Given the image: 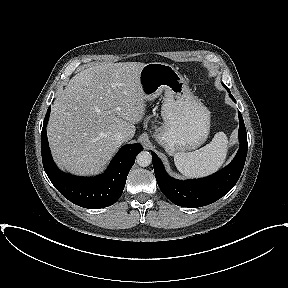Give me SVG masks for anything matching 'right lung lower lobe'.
I'll return each mask as SVG.
<instances>
[{
  "label": "right lung lower lobe",
  "mask_w": 288,
  "mask_h": 288,
  "mask_svg": "<svg viewBox=\"0 0 288 288\" xmlns=\"http://www.w3.org/2000/svg\"><path fill=\"white\" fill-rule=\"evenodd\" d=\"M48 108L41 132V153L44 170L56 189L72 203L89 209L114 204L121 196L127 175L135 158L142 151L140 144L123 146L105 173L96 177H78L61 172L55 165L48 145L46 125L50 115Z\"/></svg>",
  "instance_id": "obj_1"
}]
</instances>
